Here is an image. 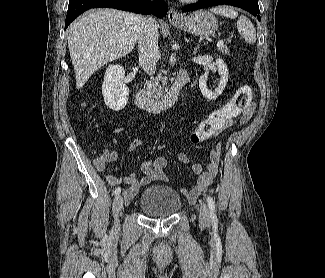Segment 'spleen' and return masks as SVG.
I'll use <instances>...</instances> for the list:
<instances>
[{
	"label": "spleen",
	"mask_w": 325,
	"mask_h": 278,
	"mask_svg": "<svg viewBox=\"0 0 325 278\" xmlns=\"http://www.w3.org/2000/svg\"><path fill=\"white\" fill-rule=\"evenodd\" d=\"M211 12L235 19L238 17V13L233 10L231 7H215L210 9ZM237 29L240 35L245 39L249 44H253L256 41V31L252 22L245 16H240L237 20Z\"/></svg>",
	"instance_id": "3e777b00"
}]
</instances>
